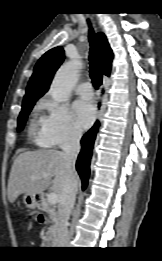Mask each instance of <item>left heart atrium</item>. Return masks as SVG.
Listing matches in <instances>:
<instances>
[{
    "label": "left heart atrium",
    "mask_w": 162,
    "mask_h": 261,
    "mask_svg": "<svg viewBox=\"0 0 162 261\" xmlns=\"http://www.w3.org/2000/svg\"><path fill=\"white\" fill-rule=\"evenodd\" d=\"M73 109L78 127L81 129L90 127L96 114L93 103L89 100H78L74 103Z\"/></svg>",
    "instance_id": "left-heart-atrium-1"
}]
</instances>
